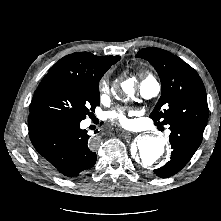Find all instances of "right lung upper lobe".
<instances>
[{"label": "right lung upper lobe", "mask_w": 221, "mask_h": 221, "mask_svg": "<svg viewBox=\"0 0 221 221\" xmlns=\"http://www.w3.org/2000/svg\"><path fill=\"white\" fill-rule=\"evenodd\" d=\"M119 59V56H96L89 52H77L64 56L50 70L60 69L80 76L97 77Z\"/></svg>", "instance_id": "obj_1"}]
</instances>
